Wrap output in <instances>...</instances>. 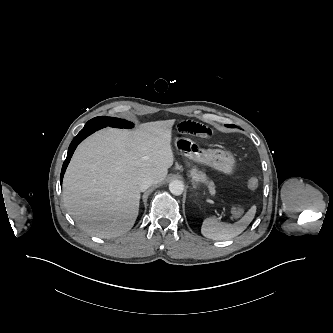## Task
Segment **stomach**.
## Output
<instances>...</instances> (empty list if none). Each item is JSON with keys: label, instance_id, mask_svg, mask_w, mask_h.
<instances>
[{"label": "stomach", "instance_id": "obj_1", "mask_svg": "<svg viewBox=\"0 0 333 333\" xmlns=\"http://www.w3.org/2000/svg\"><path fill=\"white\" fill-rule=\"evenodd\" d=\"M175 146L189 158L203 162L212 168L225 174H231L235 167V158L228 152L221 149L204 150L188 138H176ZM202 183V181H197Z\"/></svg>", "mask_w": 333, "mask_h": 333}]
</instances>
